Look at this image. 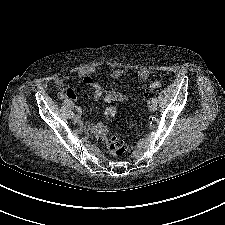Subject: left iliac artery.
<instances>
[{
  "label": "left iliac artery",
  "mask_w": 225,
  "mask_h": 225,
  "mask_svg": "<svg viewBox=\"0 0 225 225\" xmlns=\"http://www.w3.org/2000/svg\"><path fill=\"white\" fill-rule=\"evenodd\" d=\"M152 102H157V97L156 96H153Z\"/></svg>",
  "instance_id": "left-iliac-artery-1"
}]
</instances>
